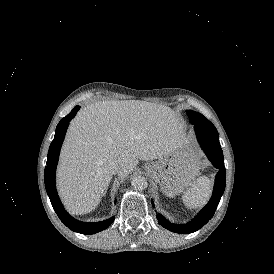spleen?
<instances>
[{"instance_id":"3e777b00","label":"spleen","mask_w":274,"mask_h":274,"mask_svg":"<svg viewBox=\"0 0 274 274\" xmlns=\"http://www.w3.org/2000/svg\"><path fill=\"white\" fill-rule=\"evenodd\" d=\"M211 188L207 177H199L183 192V202L189 207H200L207 202Z\"/></svg>"}]
</instances>
